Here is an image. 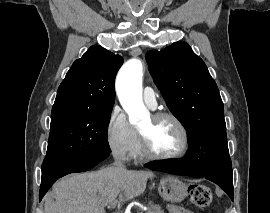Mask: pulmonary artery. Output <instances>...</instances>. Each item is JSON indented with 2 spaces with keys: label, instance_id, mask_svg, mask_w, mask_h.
I'll return each instance as SVG.
<instances>
[{
  "label": "pulmonary artery",
  "instance_id": "e3ab8cb5",
  "mask_svg": "<svg viewBox=\"0 0 270 213\" xmlns=\"http://www.w3.org/2000/svg\"><path fill=\"white\" fill-rule=\"evenodd\" d=\"M143 99L144 102L150 107L155 108L157 101H156V92L151 87H146L143 92Z\"/></svg>",
  "mask_w": 270,
  "mask_h": 213
}]
</instances>
